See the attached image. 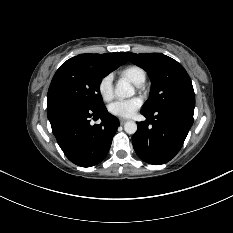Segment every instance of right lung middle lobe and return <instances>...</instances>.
Instances as JSON below:
<instances>
[{
    "mask_svg": "<svg viewBox=\"0 0 233 233\" xmlns=\"http://www.w3.org/2000/svg\"><path fill=\"white\" fill-rule=\"evenodd\" d=\"M117 67L81 58H70L55 73L47 95V104L72 102L98 110L104 108L99 85Z\"/></svg>",
    "mask_w": 233,
    "mask_h": 233,
    "instance_id": "obj_1",
    "label": "right lung middle lobe"
}]
</instances>
